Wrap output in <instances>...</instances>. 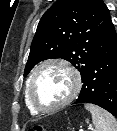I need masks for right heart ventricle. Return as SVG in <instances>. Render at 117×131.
<instances>
[{
  "mask_svg": "<svg viewBox=\"0 0 117 131\" xmlns=\"http://www.w3.org/2000/svg\"><path fill=\"white\" fill-rule=\"evenodd\" d=\"M24 102H25V105H26L28 111L30 112V114L36 115V114L38 113V112L33 108V106L31 105V103H30V101H29L28 94H27V83H26L25 90H24Z\"/></svg>",
  "mask_w": 117,
  "mask_h": 131,
  "instance_id": "right-heart-ventricle-1",
  "label": "right heart ventricle"
}]
</instances>
